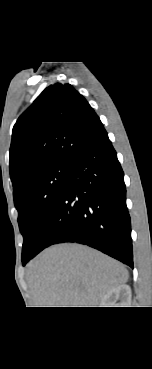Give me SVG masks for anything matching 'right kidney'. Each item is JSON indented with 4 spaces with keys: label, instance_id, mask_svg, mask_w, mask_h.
Masks as SVG:
<instances>
[{
    "label": "right kidney",
    "instance_id": "1",
    "mask_svg": "<svg viewBox=\"0 0 152 369\" xmlns=\"http://www.w3.org/2000/svg\"><path fill=\"white\" fill-rule=\"evenodd\" d=\"M119 301V302H118ZM131 301V288L122 284L112 288L102 299L101 307H128Z\"/></svg>",
    "mask_w": 152,
    "mask_h": 369
}]
</instances>
